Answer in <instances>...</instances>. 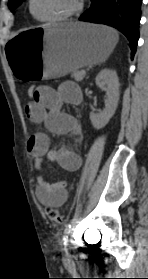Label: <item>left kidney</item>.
<instances>
[{
    "label": "left kidney",
    "instance_id": "1",
    "mask_svg": "<svg viewBox=\"0 0 148 279\" xmlns=\"http://www.w3.org/2000/svg\"><path fill=\"white\" fill-rule=\"evenodd\" d=\"M96 85L106 91L105 108L102 111L91 112L90 120L95 129L103 128L114 115L119 101V78L116 71L103 69L96 76Z\"/></svg>",
    "mask_w": 148,
    "mask_h": 279
}]
</instances>
